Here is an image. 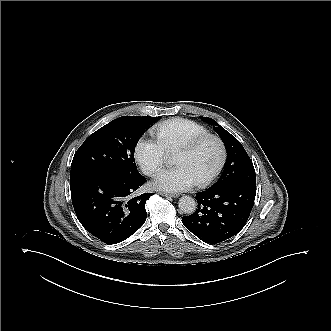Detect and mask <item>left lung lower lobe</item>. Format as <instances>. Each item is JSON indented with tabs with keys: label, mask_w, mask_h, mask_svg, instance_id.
I'll list each match as a JSON object with an SVG mask.
<instances>
[{
	"label": "left lung lower lobe",
	"mask_w": 331,
	"mask_h": 331,
	"mask_svg": "<svg viewBox=\"0 0 331 331\" xmlns=\"http://www.w3.org/2000/svg\"><path fill=\"white\" fill-rule=\"evenodd\" d=\"M198 209L184 216V226L204 242L219 243L237 234L254 204L256 187L232 184L196 193Z\"/></svg>",
	"instance_id": "0a47b994"
}]
</instances>
